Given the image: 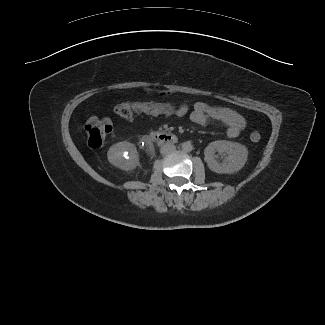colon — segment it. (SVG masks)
I'll return each instance as SVG.
<instances>
[{"label": "colon", "instance_id": "colon-1", "mask_svg": "<svg viewBox=\"0 0 325 325\" xmlns=\"http://www.w3.org/2000/svg\"><path fill=\"white\" fill-rule=\"evenodd\" d=\"M116 114L125 120H132L136 114L148 115L152 117H178L181 113L180 106L172 102L162 101H142V102H123L115 108ZM85 133L87 143L91 148H100L107 135L112 130V123L109 119L91 117L86 121ZM261 135L257 131L250 133V140L258 142Z\"/></svg>", "mask_w": 325, "mask_h": 325}]
</instances>
